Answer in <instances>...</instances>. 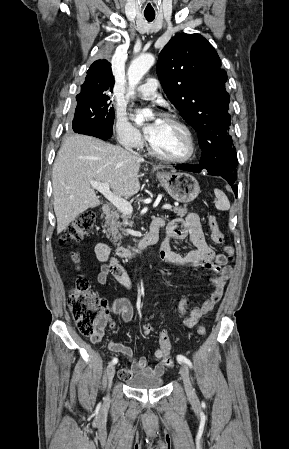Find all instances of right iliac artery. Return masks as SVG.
I'll return each instance as SVG.
<instances>
[{"instance_id":"82829eb1","label":"right iliac artery","mask_w":289,"mask_h":449,"mask_svg":"<svg viewBox=\"0 0 289 449\" xmlns=\"http://www.w3.org/2000/svg\"><path fill=\"white\" fill-rule=\"evenodd\" d=\"M118 362V359L117 358H114L113 360H112V364H116Z\"/></svg>"}]
</instances>
